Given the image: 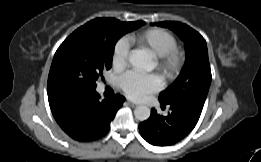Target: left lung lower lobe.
<instances>
[{
	"mask_svg": "<svg viewBox=\"0 0 261 162\" xmlns=\"http://www.w3.org/2000/svg\"><path fill=\"white\" fill-rule=\"evenodd\" d=\"M165 105L162 103V106ZM168 105L171 111L167 116H160L152 109L149 119L139 125L141 136L152 145L168 146L182 140L196 126L203 109L187 98Z\"/></svg>",
	"mask_w": 261,
	"mask_h": 162,
	"instance_id": "left-lung-lower-lobe-1",
	"label": "left lung lower lobe"
}]
</instances>
